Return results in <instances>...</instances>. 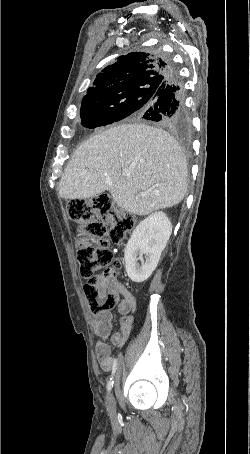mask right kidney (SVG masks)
<instances>
[{
  "mask_svg": "<svg viewBox=\"0 0 250 454\" xmlns=\"http://www.w3.org/2000/svg\"><path fill=\"white\" fill-rule=\"evenodd\" d=\"M171 233L172 224L163 212H155L137 225L124 253L126 272L133 282L141 283L149 278L158 265ZM138 260L141 265L137 263Z\"/></svg>",
  "mask_w": 250,
  "mask_h": 454,
  "instance_id": "1",
  "label": "right kidney"
}]
</instances>
